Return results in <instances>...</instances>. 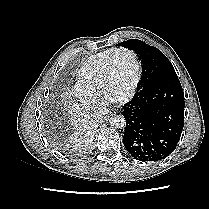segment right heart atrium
<instances>
[{
	"mask_svg": "<svg viewBox=\"0 0 209 209\" xmlns=\"http://www.w3.org/2000/svg\"><path fill=\"white\" fill-rule=\"evenodd\" d=\"M73 95L75 99L85 108H94L101 104V101L97 96L84 91L79 87H76L73 90Z\"/></svg>",
	"mask_w": 209,
	"mask_h": 209,
	"instance_id": "1",
	"label": "right heart atrium"
}]
</instances>
